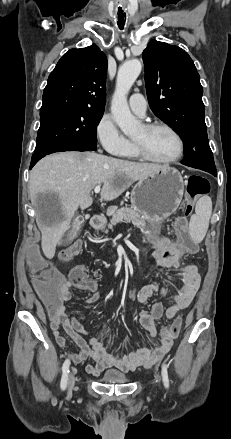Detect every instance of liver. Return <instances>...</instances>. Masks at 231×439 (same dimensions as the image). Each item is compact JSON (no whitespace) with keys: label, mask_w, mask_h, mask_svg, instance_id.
Segmentation results:
<instances>
[{"label":"liver","mask_w":231,"mask_h":439,"mask_svg":"<svg viewBox=\"0 0 231 439\" xmlns=\"http://www.w3.org/2000/svg\"><path fill=\"white\" fill-rule=\"evenodd\" d=\"M166 166L135 163L94 152H61L40 160L30 172L29 192L35 202L39 195H54L58 207L50 215L37 214L44 255L52 259L78 209L92 205V189L103 184L100 196L106 201L118 198L134 182Z\"/></svg>","instance_id":"6515ba94"}]
</instances>
